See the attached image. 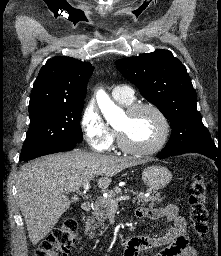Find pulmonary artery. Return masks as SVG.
Returning <instances> with one entry per match:
<instances>
[{
  "label": "pulmonary artery",
  "instance_id": "obj_1",
  "mask_svg": "<svg viewBox=\"0 0 221 256\" xmlns=\"http://www.w3.org/2000/svg\"><path fill=\"white\" fill-rule=\"evenodd\" d=\"M112 95L115 99L127 102L133 101L134 99V92L132 88L125 85L116 86L112 91Z\"/></svg>",
  "mask_w": 221,
  "mask_h": 256
}]
</instances>
